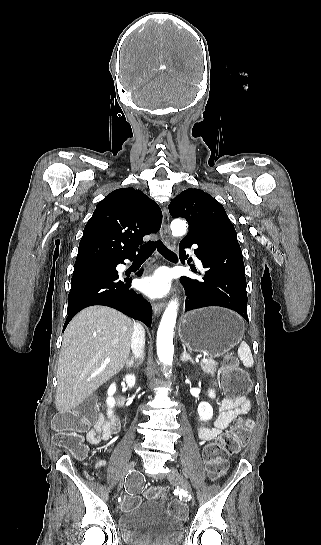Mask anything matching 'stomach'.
I'll list each match as a JSON object with an SVG mask.
<instances>
[{
    "mask_svg": "<svg viewBox=\"0 0 321 545\" xmlns=\"http://www.w3.org/2000/svg\"><path fill=\"white\" fill-rule=\"evenodd\" d=\"M244 331L237 313L222 307H207L185 313L178 333L189 351L220 357L243 339Z\"/></svg>",
    "mask_w": 321,
    "mask_h": 545,
    "instance_id": "1",
    "label": "stomach"
}]
</instances>
